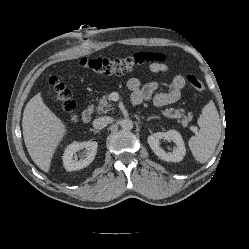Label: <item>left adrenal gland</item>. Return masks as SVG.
Instances as JSON below:
<instances>
[{
  "mask_svg": "<svg viewBox=\"0 0 249 249\" xmlns=\"http://www.w3.org/2000/svg\"><path fill=\"white\" fill-rule=\"evenodd\" d=\"M155 118L158 119L159 117H158V116H151V117H148V118H147V121H149V120H151V119H155Z\"/></svg>",
  "mask_w": 249,
  "mask_h": 249,
  "instance_id": "a2214340",
  "label": "left adrenal gland"
}]
</instances>
